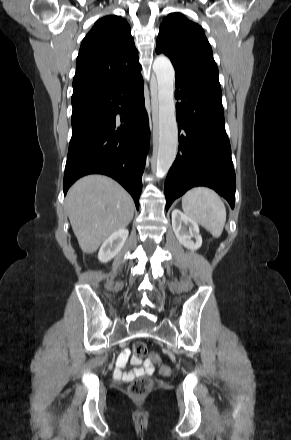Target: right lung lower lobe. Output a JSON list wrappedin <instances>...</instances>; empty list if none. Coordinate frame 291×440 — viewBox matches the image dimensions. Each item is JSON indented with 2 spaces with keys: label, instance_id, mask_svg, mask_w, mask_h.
Listing matches in <instances>:
<instances>
[{
  "label": "right lung lower lobe",
  "instance_id": "right-lung-lower-lobe-1",
  "mask_svg": "<svg viewBox=\"0 0 291 440\" xmlns=\"http://www.w3.org/2000/svg\"><path fill=\"white\" fill-rule=\"evenodd\" d=\"M72 107L64 194L78 178L104 174L132 195L138 209L150 138L140 71L111 86L74 92Z\"/></svg>",
  "mask_w": 291,
  "mask_h": 440
}]
</instances>
